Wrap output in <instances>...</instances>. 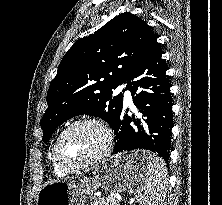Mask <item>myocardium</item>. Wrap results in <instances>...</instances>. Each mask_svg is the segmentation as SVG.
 I'll return each instance as SVG.
<instances>
[{
  "label": "myocardium",
  "instance_id": "f54148a6",
  "mask_svg": "<svg viewBox=\"0 0 222 205\" xmlns=\"http://www.w3.org/2000/svg\"><path fill=\"white\" fill-rule=\"evenodd\" d=\"M79 125H92V126L97 127L98 129H100L104 135V144H103V147L101 148V150L97 154L92 156L91 158H89L83 162H80V163L67 164L62 160V158L59 154V147H60L61 141L64 138V136L70 130H72L73 128H75ZM112 143H113V136H112L111 130L103 121L95 119V118H80V119L73 121L71 124H69L59 134V136L57 137V139L55 141L54 147H53V158H54L55 162L57 163V165L65 171L72 172V171H76V170H81V169L87 168V167L94 165V164L100 162L101 160H103L110 152L111 147H112Z\"/></svg>",
  "mask_w": 222,
  "mask_h": 205
}]
</instances>
